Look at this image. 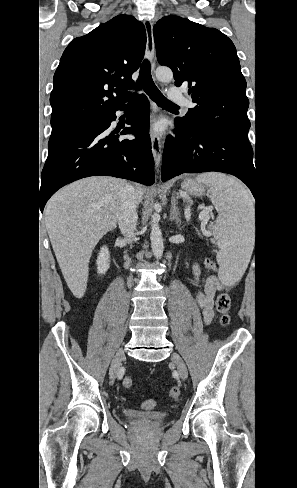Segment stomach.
Masks as SVG:
<instances>
[{"mask_svg":"<svg viewBox=\"0 0 297 488\" xmlns=\"http://www.w3.org/2000/svg\"><path fill=\"white\" fill-rule=\"evenodd\" d=\"M182 190L189 196H202L205 193L204 185L194 179L187 178L182 182Z\"/></svg>","mask_w":297,"mask_h":488,"instance_id":"1","label":"stomach"}]
</instances>
